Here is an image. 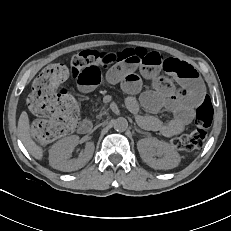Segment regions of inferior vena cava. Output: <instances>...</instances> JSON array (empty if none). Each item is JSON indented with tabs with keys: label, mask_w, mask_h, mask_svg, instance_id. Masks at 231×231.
<instances>
[{
	"label": "inferior vena cava",
	"mask_w": 231,
	"mask_h": 231,
	"mask_svg": "<svg viewBox=\"0 0 231 231\" xmlns=\"http://www.w3.org/2000/svg\"><path fill=\"white\" fill-rule=\"evenodd\" d=\"M103 126H104V125L101 123L100 125L97 124L95 127L98 129L99 127L102 128Z\"/></svg>",
	"instance_id": "inferior-vena-cava-1"
}]
</instances>
